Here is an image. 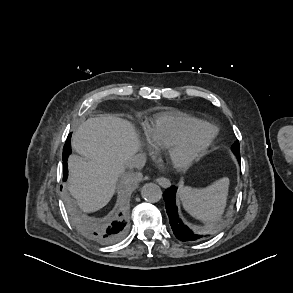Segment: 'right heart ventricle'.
I'll list each match as a JSON object with an SVG mask.
<instances>
[{
  "label": "right heart ventricle",
  "instance_id": "e07e8e85",
  "mask_svg": "<svg viewBox=\"0 0 293 293\" xmlns=\"http://www.w3.org/2000/svg\"><path fill=\"white\" fill-rule=\"evenodd\" d=\"M199 121L198 118L180 111L163 112L146 125L145 137L153 148L165 149L177 142L189 126Z\"/></svg>",
  "mask_w": 293,
  "mask_h": 293
}]
</instances>
